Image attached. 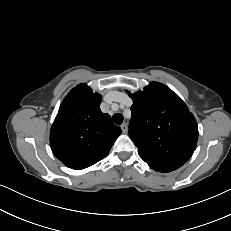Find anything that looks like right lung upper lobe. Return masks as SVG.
Wrapping results in <instances>:
<instances>
[{"label":"right lung upper lobe","instance_id":"1","mask_svg":"<svg viewBox=\"0 0 231 231\" xmlns=\"http://www.w3.org/2000/svg\"><path fill=\"white\" fill-rule=\"evenodd\" d=\"M101 95L80 84L65 97L50 131L54 155L80 170L105 158L121 128L100 110Z\"/></svg>","mask_w":231,"mask_h":231}]
</instances>
